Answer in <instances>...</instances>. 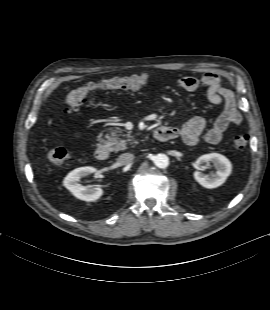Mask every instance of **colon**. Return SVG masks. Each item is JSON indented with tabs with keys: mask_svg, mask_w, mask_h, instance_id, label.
<instances>
[{
	"mask_svg": "<svg viewBox=\"0 0 270 310\" xmlns=\"http://www.w3.org/2000/svg\"><path fill=\"white\" fill-rule=\"evenodd\" d=\"M147 80V75L139 74L125 77H114L99 82H90L70 92L65 99V104L67 107L72 109L79 108L84 104L89 93L92 91L134 90L146 84ZM249 142L250 137L247 134H239L234 138V145L237 149L240 150L246 149L249 145ZM48 158L54 165H63L70 161L71 154L67 149L63 147H57L51 149L48 152Z\"/></svg>",
	"mask_w": 270,
	"mask_h": 310,
	"instance_id": "5ec220e1",
	"label": "colon"
}]
</instances>
